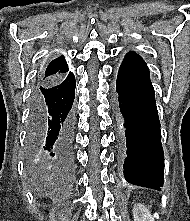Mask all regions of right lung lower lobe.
<instances>
[{"label":"right lung lower lobe","mask_w":190,"mask_h":221,"mask_svg":"<svg viewBox=\"0 0 190 221\" xmlns=\"http://www.w3.org/2000/svg\"><path fill=\"white\" fill-rule=\"evenodd\" d=\"M76 81L71 72L62 78L39 81L31 97L28 155L42 156L38 170L67 169L73 160L72 105Z\"/></svg>","instance_id":"right-lung-lower-lobe-1"}]
</instances>
